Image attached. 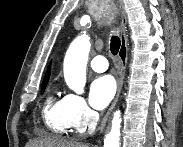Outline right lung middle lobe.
Returning <instances> with one entry per match:
<instances>
[{
    "label": "right lung middle lobe",
    "mask_w": 183,
    "mask_h": 147,
    "mask_svg": "<svg viewBox=\"0 0 183 147\" xmlns=\"http://www.w3.org/2000/svg\"><path fill=\"white\" fill-rule=\"evenodd\" d=\"M46 85H47V84H43V85H42L41 93H43V92H44Z\"/></svg>",
    "instance_id": "right-lung-middle-lobe-1"
}]
</instances>
